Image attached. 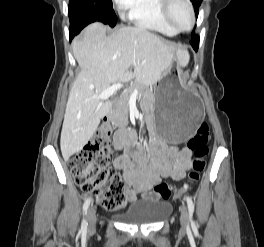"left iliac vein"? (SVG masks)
<instances>
[{
    "label": "left iliac vein",
    "mask_w": 264,
    "mask_h": 247,
    "mask_svg": "<svg viewBox=\"0 0 264 247\" xmlns=\"http://www.w3.org/2000/svg\"><path fill=\"white\" fill-rule=\"evenodd\" d=\"M180 213H181V215H180L181 225L183 227H186V225L188 223V211H187V208L184 204L180 207Z\"/></svg>",
    "instance_id": "left-iliac-vein-1"
}]
</instances>
